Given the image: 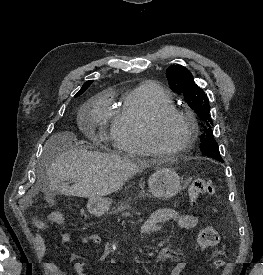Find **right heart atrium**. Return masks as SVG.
<instances>
[{"mask_svg": "<svg viewBox=\"0 0 263 275\" xmlns=\"http://www.w3.org/2000/svg\"><path fill=\"white\" fill-rule=\"evenodd\" d=\"M105 99H100L95 108H94V115H95V119L100 122L102 125H104L107 121V116L105 113ZM103 136H105V134L103 133Z\"/></svg>", "mask_w": 263, "mask_h": 275, "instance_id": "obj_1", "label": "right heart atrium"}]
</instances>
